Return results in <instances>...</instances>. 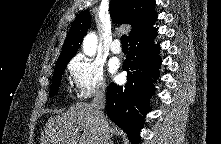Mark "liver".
I'll return each mask as SVG.
<instances>
[{
  "label": "liver",
  "instance_id": "1",
  "mask_svg": "<svg viewBox=\"0 0 221 144\" xmlns=\"http://www.w3.org/2000/svg\"><path fill=\"white\" fill-rule=\"evenodd\" d=\"M99 131L91 104L76 103L62 115L48 119L41 144H98Z\"/></svg>",
  "mask_w": 221,
  "mask_h": 144
}]
</instances>
